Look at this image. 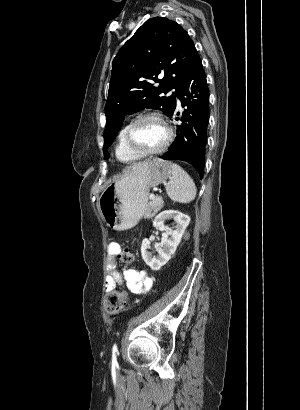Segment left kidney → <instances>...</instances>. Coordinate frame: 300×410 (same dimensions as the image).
<instances>
[{"label": "left kidney", "mask_w": 300, "mask_h": 410, "mask_svg": "<svg viewBox=\"0 0 300 410\" xmlns=\"http://www.w3.org/2000/svg\"><path fill=\"white\" fill-rule=\"evenodd\" d=\"M173 219L176 222L175 229L172 230L164 225L166 220ZM190 217L186 214L175 210H164L160 212L153 221V227L156 229H165L166 232L162 235L161 246L158 247V256H153L148 251L150 248V240L145 238L141 245V255L144 262L154 271L159 270L164 266L175 253L182 236L189 225Z\"/></svg>", "instance_id": "1"}]
</instances>
